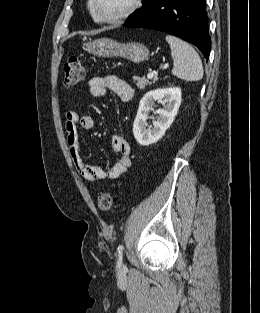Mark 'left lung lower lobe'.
<instances>
[{
  "label": "left lung lower lobe",
  "instance_id": "left-lung-lower-lobe-1",
  "mask_svg": "<svg viewBox=\"0 0 260 313\" xmlns=\"http://www.w3.org/2000/svg\"><path fill=\"white\" fill-rule=\"evenodd\" d=\"M123 26L167 32L194 44L206 59L209 57L205 0H150Z\"/></svg>",
  "mask_w": 260,
  "mask_h": 313
}]
</instances>
